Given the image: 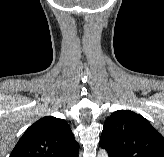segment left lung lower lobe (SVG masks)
Segmentation results:
<instances>
[{
	"label": "left lung lower lobe",
	"instance_id": "1",
	"mask_svg": "<svg viewBox=\"0 0 164 157\" xmlns=\"http://www.w3.org/2000/svg\"><path fill=\"white\" fill-rule=\"evenodd\" d=\"M101 147L105 148L108 152V157H117L116 154L114 152H112L111 150H109L108 148H106L104 145L100 144Z\"/></svg>",
	"mask_w": 164,
	"mask_h": 157
}]
</instances>
